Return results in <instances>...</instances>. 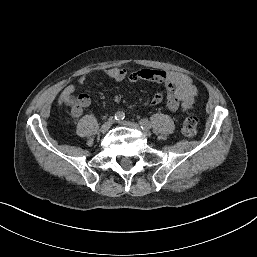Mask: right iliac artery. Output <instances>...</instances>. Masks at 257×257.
<instances>
[{
    "mask_svg": "<svg viewBox=\"0 0 257 257\" xmlns=\"http://www.w3.org/2000/svg\"><path fill=\"white\" fill-rule=\"evenodd\" d=\"M114 117H115V119L118 120V121H119V120H123V119L125 118V114H124L123 112H120V111H119V112H117V113L115 114Z\"/></svg>",
    "mask_w": 257,
    "mask_h": 257,
    "instance_id": "obj_1",
    "label": "right iliac artery"
}]
</instances>
